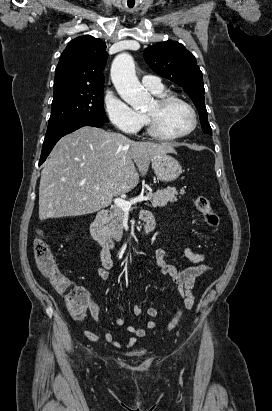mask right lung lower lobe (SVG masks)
I'll list each match as a JSON object with an SVG mask.
<instances>
[{
    "label": "right lung lower lobe",
    "mask_w": 272,
    "mask_h": 411,
    "mask_svg": "<svg viewBox=\"0 0 272 411\" xmlns=\"http://www.w3.org/2000/svg\"><path fill=\"white\" fill-rule=\"evenodd\" d=\"M104 124L105 122H98V121H92V120H79L71 124H68L59 130L53 131L51 133H47L44 138V143L42 147V153H41L39 165H41L46 160L47 156L51 152L56 142L64 135L69 134L83 126L100 127V126H103Z\"/></svg>",
    "instance_id": "right-lung-lower-lobe-1"
}]
</instances>
